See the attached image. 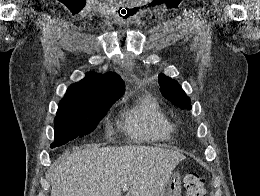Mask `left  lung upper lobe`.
<instances>
[{
	"label": "left lung upper lobe",
	"instance_id": "left-lung-upper-lobe-1",
	"mask_svg": "<svg viewBox=\"0 0 260 196\" xmlns=\"http://www.w3.org/2000/svg\"><path fill=\"white\" fill-rule=\"evenodd\" d=\"M159 85L160 91L166 99L182 109H191L189 97L175 80L160 74Z\"/></svg>",
	"mask_w": 260,
	"mask_h": 196
}]
</instances>
